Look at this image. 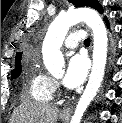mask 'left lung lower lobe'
<instances>
[{
	"label": "left lung lower lobe",
	"instance_id": "left-lung-lower-lobe-1",
	"mask_svg": "<svg viewBox=\"0 0 122 123\" xmlns=\"http://www.w3.org/2000/svg\"><path fill=\"white\" fill-rule=\"evenodd\" d=\"M105 22H106L107 26L109 27V22H108L107 17H105Z\"/></svg>",
	"mask_w": 122,
	"mask_h": 123
}]
</instances>
